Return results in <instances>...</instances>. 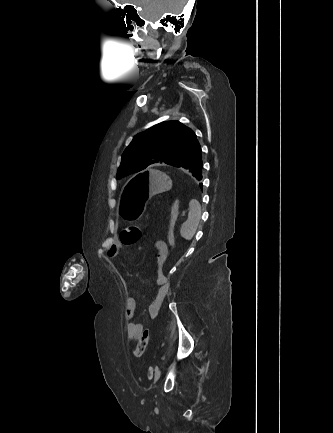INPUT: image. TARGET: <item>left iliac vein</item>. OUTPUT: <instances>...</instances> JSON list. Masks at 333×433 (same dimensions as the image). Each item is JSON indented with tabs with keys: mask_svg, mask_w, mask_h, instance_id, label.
<instances>
[{
	"mask_svg": "<svg viewBox=\"0 0 333 433\" xmlns=\"http://www.w3.org/2000/svg\"><path fill=\"white\" fill-rule=\"evenodd\" d=\"M161 375V371L160 370H156L155 371V375H154V380L157 381L160 378Z\"/></svg>",
	"mask_w": 333,
	"mask_h": 433,
	"instance_id": "1",
	"label": "left iliac vein"
}]
</instances>
